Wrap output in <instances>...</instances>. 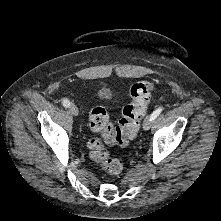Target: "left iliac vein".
Masks as SVG:
<instances>
[{
    "label": "left iliac vein",
    "instance_id": "4c4485c4",
    "mask_svg": "<svg viewBox=\"0 0 221 221\" xmlns=\"http://www.w3.org/2000/svg\"><path fill=\"white\" fill-rule=\"evenodd\" d=\"M151 124H152L151 116H147L143 122V129L145 131H148L151 127Z\"/></svg>",
    "mask_w": 221,
    "mask_h": 221
}]
</instances>
